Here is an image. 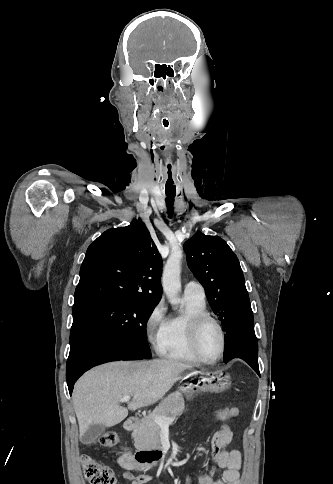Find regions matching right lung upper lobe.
Here are the masks:
<instances>
[{
    "instance_id": "obj_1",
    "label": "right lung upper lobe",
    "mask_w": 333,
    "mask_h": 484,
    "mask_svg": "<svg viewBox=\"0 0 333 484\" xmlns=\"http://www.w3.org/2000/svg\"><path fill=\"white\" fill-rule=\"evenodd\" d=\"M162 259L142 221L109 229L87 249L75 303L111 297L158 303Z\"/></svg>"
}]
</instances>
